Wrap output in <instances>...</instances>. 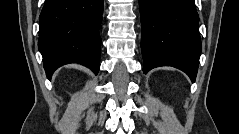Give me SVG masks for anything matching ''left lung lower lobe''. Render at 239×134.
<instances>
[{"label": "left lung lower lobe", "instance_id": "1", "mask_svg": "<svg viewBox=\"0 0 239 134\" xmlns=\"http://www.w3.org/2000/svg\"><path fill=\"white\" fill-rule=\"evenodd\" d=\"M139 8L143 72L172 66L195 82L201 39L194 0H139Z\"/></svg>", "mask_w": 239, "mask_h": 134}]
</instances>
